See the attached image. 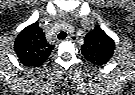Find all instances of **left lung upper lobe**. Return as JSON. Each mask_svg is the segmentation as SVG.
<instances>
[{"mask_svg":"<svg viewBox=\"0 0 135 95\" xmlns=\"http://www.w3.org/2000/svg\"><path fill=\"white\" fill-rule=\"evenodd\" d=\"M115 43L106 33L96 26L84 38L81 52L85 59L95 66L106 64L114 54Z\"/></svg>","mask_w":135,"mask_h":95,"instance_id":"5c2ea615","label":"left lung upper lobe"}]
</instances>
